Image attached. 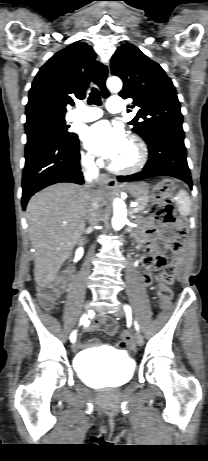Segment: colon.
Wrapping results in <instances>:
<instances>
[{"label":"colon","instance_id":"obj_1","mask_svg":"<svg viewBox=\"0 0 208 461\" xmlns=\"http://www.w3.org/2000/svg\"><path fill=\"white\" fill-rule=\"evenodd\" d=\"M173 189L174 182L170 179L163 180L154 188L152 192L154 203L151 206V214L158 222L162 224H178L181 226L183 224V220L177 216L175 208L171 202V193ZM171 246L173 250L178 251L183 246V240L182 242H172ZM155 264L158 268H163V271L160 274L157 296L161 301L162 306L168 307L173 298V293L170 289V284L173 282L175 274V264H167L165 256H158L155 259ZM64 286V280L57 279L55 281H52L46 285L39 287L38 295L40 300L47 307L52 306L58 300ZM128 337V335L121 334V345L124 347V350L126 349V342ZM129 353L131 354L132 358L136 357V350L134 348H131L129 350Z\"/></svg>","mask_w":208,"mask_h":461}]
</instances>
